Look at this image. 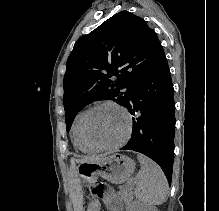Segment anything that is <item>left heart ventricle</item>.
<instances>
[{
	"label": "left heart ventricle",
	"instance_id": "obj_1",
	"mask_svg": "<svg viewBox=\"0 0 219 211\" xmlns=\"http://www.w3.org/2000/svg\"><path fill=\"white\" fill-rule=\"evenodd\" d=\"M87 134L96 144H113L119 141L126 129V118L111 106L98 107L87 120Z\"/></svg>",
	"mask_w": 219,
	"mask_h": 211
}]
</instances>
